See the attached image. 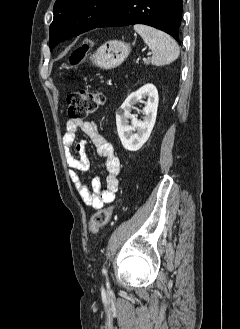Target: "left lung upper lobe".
<instances>
[{
	"instance_id": "obj_1",
	"label": "left lung upper lobe",
	"mask_w": 240,
	"mask_h": 329,
	"mask_svg": "<svg viewBox=\"0 0 240 329\" xmlns=\"http://www.w3.org/2000/svg\"><path fill=\"white\" fill-rule=\"evenodd\" d=\"M121 0H57L51 23L49 46L96 28Z\"/></svg>"
}]
</instances>
